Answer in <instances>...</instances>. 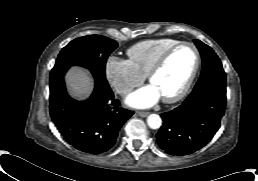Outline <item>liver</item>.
Returning a JSON list of instances; mask_svg holds the SVG:
<instances>
[{
    "instance_id": "liver-1",
    "label": "liver",
    "mask_w": 258,
    "mask_h": 181,
    "mask_svg": "<svg viewBox=\"0 0 258 181\" xmlns=\"http://www.w3.org/2000/svg\"><path fill=\"white\" fill-rule=\"evenodd\" d=\"M66 83L70 94L77 99L87 98L93 88L90 76L80 68H72L66 75Z\"/></svg>"
}]
</instances>
